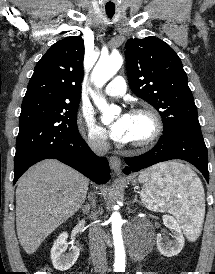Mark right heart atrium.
<instances>
[{
    "mask_svg": "<svg viewBox=\"0 0 215 274\" xmlns=\"http://www.w3.org/2000/svg\"><path fill=\"white\" fill-rule=\"evenodd\" d=\"M78 127L86 142L95 151H104L108 148L107 134L98 126L90 114L84 113L78 121Z\"/></svg>",
    "mask_w": 215,
    "mask_h": 274,
    "instance_id": "obj_1",
    "label": "right heart atrium"
}]
</instances>
